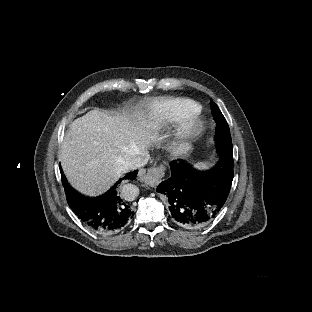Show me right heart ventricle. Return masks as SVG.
<instances>
[{"instance_id": "e07e8e85", "label": "right heart ventricle", "mask_w": 312, "mask_h": 312, "mask_svg": "<svg viewBox=\"0 0 312 312\" xmlns=\"http://www.w3.org/2000/svg\"><path fill=\"white\" fill-rule=\"evenodd\" d=\"M198 108L197 101L188 96L180 97L177 102H170L166 98L155 101L151 106L152 113L157 117L166 115L171 120L178 119L181 114L191 115Z\"/></svg>"}]
</instances>
